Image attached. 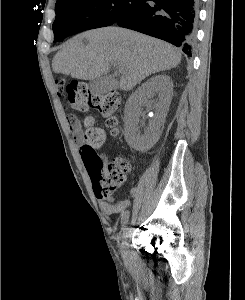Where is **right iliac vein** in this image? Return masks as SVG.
<instances>
[{"label": "right iliac vein", "mask_w": 245, "mask_h": 300, "mask_svg": "<svg viewBox=\"0 0 245 300\" xmlns=\"http://www.w3.org/2000/svg\"><path fill=\"white\" fill-rule=\"evenodd\" d=\"M130 236L129 228H125L122 233V243H121V249H122V255L124 258H127L129 256L128 252V238Z\"/></svg>", "instance_id": "63e3f726"}]
</instances>
